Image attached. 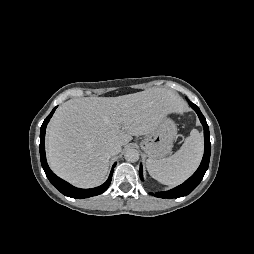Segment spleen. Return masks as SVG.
Segmentation results:
<instances>
[{"instance_id":"spleen-1","label":"spleen","mask_w":254,"mask_h":254,"mask_svg":"<svg viewBox=\"0 0 254 254\" xmlns=\"http://www.w3.org/2000/svg\"><path fill=\"white\" fill-rule=\"evenodd\" d=\"M203 136L193 129L181 148L172 156L163 159H147L149 174L162 184L176 186L191 176L200 164L203 155Z\"/></svg>"}]
</instances>
